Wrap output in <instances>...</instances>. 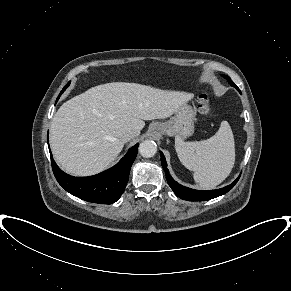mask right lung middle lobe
<instances>
[{"label": "right lung middle lobe", "instance_id": "dd1d6c3e", "mask_svg": "<svg viewBox=\"0 0 291 291\" xmlns=\"http://www.w3.org/2000/svg\"><path fill=\"white\" fill-rule=\"evenodd\" d=\"M70 83H68L64 88H63V90L61 91V93H60V95L63 93V91L68 87V85H69ZM60 95H59V97H60ZM58 97V98H59Z\"/></svg>", "mask_w": 291, "mask_h": 291}]
</instances>
